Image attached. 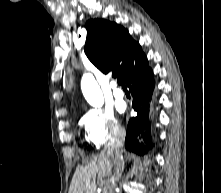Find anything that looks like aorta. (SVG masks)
<instances>
[{"instance_id": "aorta-1", "label": "aorta", "mask_w": 221, "mask_h": 193, "mask_svg": "<svg viewBox=\"0 0 221 193\" xmlns=\"http://www.w3.org/2000/svg\"><path fill=\"white\" fill-rule=\"evenodd\" d=\"M81 90L86 101L93 107H102L104 98L100 87L91 74H84L81 80Z\"/></svg>"}]
</instances>
